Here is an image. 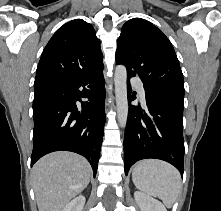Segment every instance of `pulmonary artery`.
<instances>
[{"label": "pulmonary artery", "mask_w": 221, "mask_h": 211, "mask_svg": "<svg viewBox=\"0 0 221 211\" xmlns=\"http://www.w3.org/2000/svg\"><path fill=\"white\" fill-rule=\"evenodd\" d=\"M131 82L137 88L140 96L144 99L145 98V90H144V86H143V83L141 82V80L134 77L131 79Z\"/></svg>", "instance_id": "1"}]
</instances>
